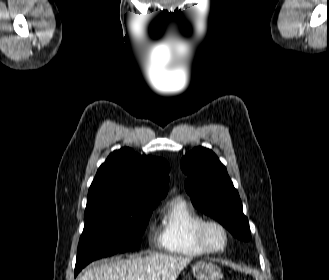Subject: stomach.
<instances>
[{"label": "stomach", "instance_id": "0dacf381", "mask_svg": "<svg viewBox=\"0 0 329 280\" xmlns=\"http://www.w3.org/2000/svg\"><path fill=\"white\" fill-rule=\"evenodd\" d=\"M197 280H222L221 269L211 262H197L192 267Z\"/></svg>", "mask_w": 329, "mask_h": 280}]
</instances>
